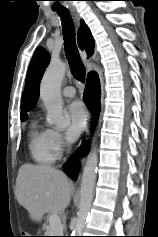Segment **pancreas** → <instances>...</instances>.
<instances>
[{
    "label": "pancreas",
    "instance_id": "obj_1",
    "mask_svg": "<svg viewBox=\"0 0 158 237\" xmlns=\"http://www.w3.org/2000/svg\"><path fill=\"white\" fill-rule=\"evenodd\" d=\"M62 226L59 228H52L51 225L47 226L46 234L47 236H58L62 235Z\"/></svg>",
    "mask_w": 158,
    "mask_h": 237
}]
</instances>
